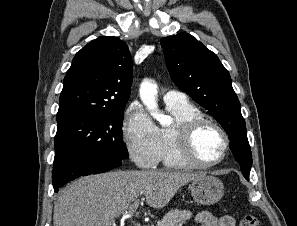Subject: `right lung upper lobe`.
<instances>
[{
  "instance_id": "cb5924a9",
  "label": "right lung upper lobe",
  "mask_w": 297,
  "mask_h": 226,
  "mask_svg": "<svg viewBox=\"0 0 297 226\" xmlns=\"http://www.w3.org/2000/svg\"><path fill=\"white\" fill-rule=\"evenodd\" d=\"M132 78L131 54L122 40L111 36L93 40L75 55L66 73L57 120L124 111Z\"/></svg>"
}]
</instances>
